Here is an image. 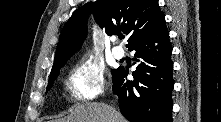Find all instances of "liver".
Returning <instances> with one entry per match:
<instances>
[{
  "label": "liver",
  "mask_w": 221,
  "mask_h": 122,
  "mask_svg": "<svg viewBox=\"0 0 221 122\" xmlns=\"http://www.w3.org/2000/svg\"><path fill=\"white\" fill-rule=\"evenodd\" d=\"M59 122H126V119L106 104L88 102L74 106L70 114Z\"/></svg>",
  "instance_id": "obj_1"
}]
</instances>
